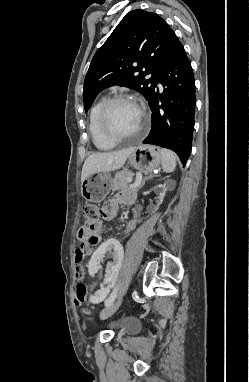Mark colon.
<instances>
[{
    "label": "colon",
    "instance_id": "colon-1",
    "mask_svg": "<svg viewBox=\"0 0 249 382\" xmlns=\"http://www.w3.org/2000/svg\"><path fill=\"white\" fill-rule=\"evenodd\" d=\"M82 212L84 215V218L87 222H94L99 214L100 209L95 204H85L82 208ZM88 253V249L85 246H80L76 249V262L77 264L74 265V270L76 271L74 273L75 279H81L83 276V268L81 267V262L84 260ZM87 296V288L86 285L83 282H78L76 286V298H83L85 300Z\"/></svg>",
    "mask_w": 249,
    "mask_h": 382
}]
</instances>
